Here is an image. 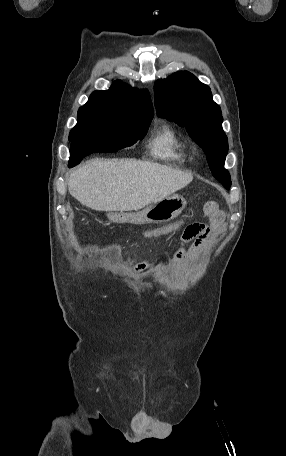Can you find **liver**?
<instances>
[{
    "mask_svg": "<svg viewBox=\"0 0 286 456\" xmlns=\"http://www.w3.org/2000/svg\"><path fill=\"white\" fill-rule=\"evenodd\" d=\"M191 173L135 159H93L73 171L68 191L82 205L98 211H132L184 188Z\"/></svg>",
    "mask_w": 286,
    "mask_h": 456,
    "instance_id": "6515ba94",
    "label": "liver"
}]
</instances>
